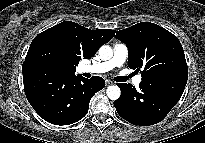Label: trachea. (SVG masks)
I'll return each mask as SVG.
<instances>
[{"instance_id": "obj_1", "label": "trachea", "mask_w": 205, "mask_h": 143, "mask_svg": "<svg viewBox=\"0 0 205 143\" xmlns=\"http://www.w3.org/2000/svg\"><path fill=\"white\" fill-rule=\"evenodd\" d=\"M132 75H129L128 77H126V76H119V77H116L115 78V81H117V82H125V81H127L128 80V78H130Z\"/></svg>"}]
</instances>
